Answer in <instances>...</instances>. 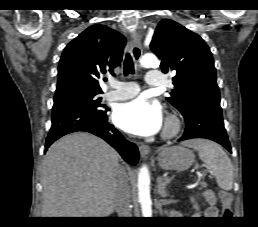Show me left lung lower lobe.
I'll list each match as a JSON object with an SVG mask.
<instances>
[{"mask_svg":"<svg viewBox=\"0 0 258 227\" xmlns=\"http://www.w3.org/2000/svg\"><path fill=\"white\" fill-rule=\"evenodd\" d=\"M186 128L179 141L192 138H207L213 140L228 151L231 145L223 124L222 109L220 106L203 105L195 109L191 116L184 117Z\"/></svg>","mask_w":258,"mask_h":227,"instance_id":"0a47b994","label":"left lung lower lobe"}]
</instances>
